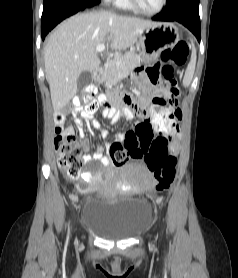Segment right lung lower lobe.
I'll list each match as a JSON object with an SVG mask.
<instances>
[{
  "mask_svg": "<svg viewBox=\"0 0 238 278\" xmlns=\"http://www.w3.org/2000/svg\"><path fill=\"white\" fill-rule=\"evenodd\" d=\"M100 0H44L41 18V36H45L65 18L98 5Z\"/></svg>",
  "mask_w": 238,
  "mask_h": 278,
  "instance_id": "right-lung-lower-lobe-1",
  "label": "right lung lower lobe"
}]
</instances>
